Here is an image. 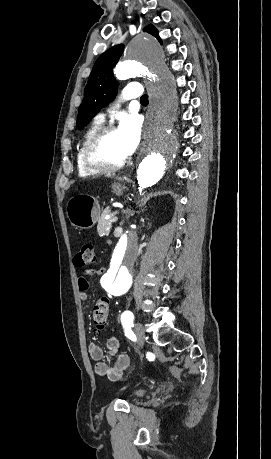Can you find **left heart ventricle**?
Here are the masks:
<instances>
[{
    "instance_id": "1",
    "label": "left heart ventricle",
    "mask_w": 271,
    "mask_h": 459,
    "mask_svg": "<svg viewBox=\"0 0 271 459\" xmlns=\"http://www.w3.org/2000/svg\"><path fill=\"white\" fill-rule=\"evenodd\" d=\"M105 152L113 158H121L129 154L124 139L116 129L104 143Z\"/></svg>"
}]
</instances>
